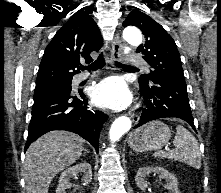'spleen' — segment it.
I'll return each instance as SVG.
<instances>
[{
    "label": "spleen",
    "instance_id": "1",
    "mask_svg": "<svg viewBox=\"0 0 221 193\" xmlns=\"http://www.w3.org/2000/svg\"><path fill=\"white\" fill-rule=\"evenodd\" d=\"M173 144L174 150L168 153L156 152L154 156L182 161L194 168H200L201 152L198 141L186 128L181 125L176 127Z\"/></svg>",
    "mask_w": 221,
    "mask_h": 193
}]
</instances>
